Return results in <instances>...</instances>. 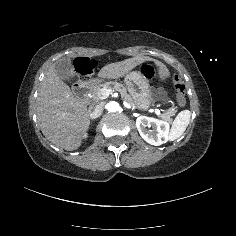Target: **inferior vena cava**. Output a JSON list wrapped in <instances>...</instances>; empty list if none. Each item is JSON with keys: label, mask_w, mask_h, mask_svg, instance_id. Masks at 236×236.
Segmentation results:
<instances>
[{"label": "inferior vena cava", "mask_w": 236, "mask_h": 236, "mask_svg": "<svg viewBox=\"0 0 236 236\" xmlns=\"http://www.w3.org/2000/svg\"><path fill=\"white\" fill-rule=\"evenodd\" d=\"M104 110V105L102 103L96 104L95 106L92 107L90 110V118L91 119H96L101 116Z\"/></svg>", "instance_id": "1"}]
</instances>
